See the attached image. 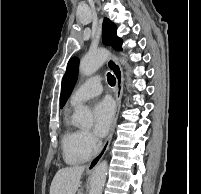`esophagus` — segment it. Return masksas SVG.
<instances>
[{"label":"esophagus","mask_w":201,"mask_h":194,"mask_svg":"<svg viewBox=\"0 0 201 194\" xmlns=\"http://www.w3.org/2000/svg\"><path fill=\"white\" fill-rule=\"evenodd\" d=\"M107 65L116 78V87H115L116 109H115V114L113 117L111 129H110V133L106 141L104 142L100 152L87 165V170H94L96 166L99 164V162L101 161V159L103 158V156L105 155L106 151L108 150L114 130H115V126L117 123L120 107H121V98L123 93V81H124L123 72L113 54H110V57L108 58V61H107Z\"/></svg>","instance_id":"1"}]
</instances>
